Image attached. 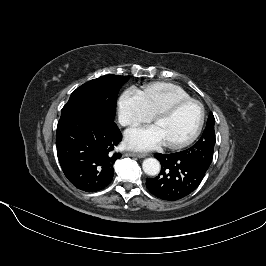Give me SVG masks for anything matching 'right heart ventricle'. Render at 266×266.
<instances>
[{"instance_id":"e07e8e85","label":"right heart ventricle","mask_w":266,"mask_h":266,"mask_svg":"<svg viewBox=\"0 0 266 266\" xmlns=\"http://www.w3.org/2000/svg\"><path fill=\"white\" fill-rule=\"evenodd\" d=\"M146 107L154 115L170 104L190 98L181 87L166 82H156L144 87L141 91Z\"/></svg>"}]
</instances>
